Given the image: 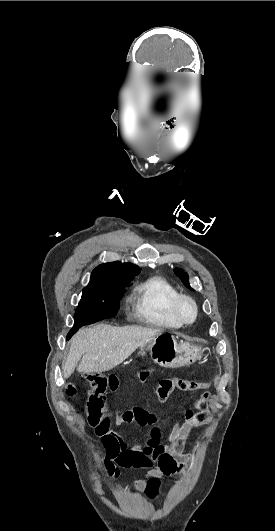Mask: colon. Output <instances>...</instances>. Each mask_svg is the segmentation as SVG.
<instances>
[{"label":"colon","mask_w":275,"mask_h":531,"mask_svg":"<svg viewBox=\"0 0 275 531\" xmlns=\"http://www.w3.org/2000/svg\"><path fill=\"white\" fill-rule=\"evenodd\" d=\"M108 377H115L113 375L98 376L95 373H87L79 375L74 378L73 386L67 388L69 395L75 394L76 390L82 395H91L87 402V410L85 412V419L87 422L101 424L105 420L108 404L109 393L106 390V383ZM208 388V385L203 381L190 380L181 377H167L162 378L157 383L156 391H152V402H167L168 398L174 392H203ZM150 483L146 486L145 494L151 499L157 496L158 491L162 487V482L158 476L152 475L149 478Z\"/></svg>","instance_id":"obj_1"}]
</instances>
